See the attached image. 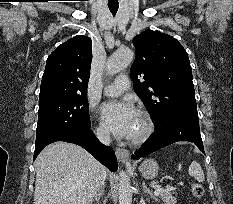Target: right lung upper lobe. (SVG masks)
I'll return each instance as SVG.
<instances>
[{
  "mask_svg": "<svg viewBox=\"0 0 233 204\" xmlns=\"http://www.w3.org/2000/svg\"><path fill=\"white\" fill-rule=\"evenodd\" d=\"M92 61V41L78 35L58 46L47 58L39 101L87 96Z\"/></svg>",
  "mask_w": 233,
  "mask_h": 204,
  "instance_id": "cb5924a9",
  "label": "right lung upper lobe"
}]
</instances>
